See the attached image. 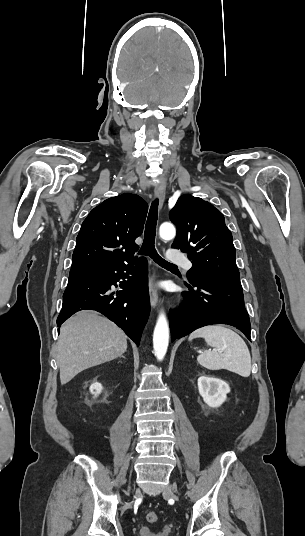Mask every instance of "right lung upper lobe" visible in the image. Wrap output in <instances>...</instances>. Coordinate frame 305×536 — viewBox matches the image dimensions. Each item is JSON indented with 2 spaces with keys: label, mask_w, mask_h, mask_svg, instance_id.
Here are the masks:
<instances>
[{
  "label": "right lung upper lobe",
  "mask_w": 305,
  "mask_h": 536,
  "mask_svg": "<svg viewBox=\"0 0 305 536\" xmlns=\"http://www.w3.org/2000/svg\"><path fill=\"white\" fill-rule=\"evenodd\" d=\"M148 210L138 195L122 194L95 207L76 239L69 276L100 271L134 260ZM125 250V251H123Z\"/></svg>",
  "instance_id": "obj_1"
}]
</instances>
